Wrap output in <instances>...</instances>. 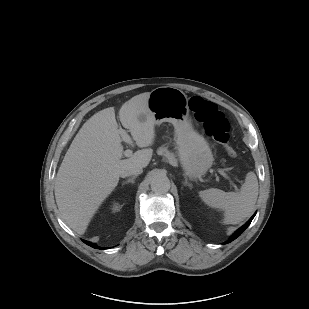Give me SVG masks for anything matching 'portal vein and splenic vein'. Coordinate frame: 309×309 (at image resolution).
Instances as JSON below:
<instances>
[{"instance_id": "18ae733b", "label": "portal vein and splenic vein", "mask_w": 309, "mask_h": 309, "mask_svg": "<svg viewBox=\"0 0 309 309\" xmlns=\"http://www.w3.org/2000/svg\"><path fill=\"white\" fill-rule=\"evenodd\" d=\"M122 136V140L125 141L126 143H128L129 145L133 146V142L132 139L130 138V136L124 131L122 130L121 133ZM125 156L129 157L132 155V151L130 149L126 150L124 152ZM218 173L221 174L225 179L231 180L230 177L222 170V169H217Z\"/></svg>"}]
</instances>
